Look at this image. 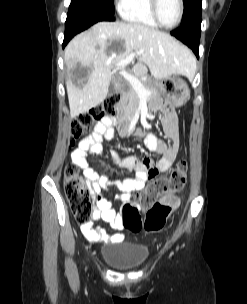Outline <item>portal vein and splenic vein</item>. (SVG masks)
Returning a JSON list of instances; mask_svg holds the SVG:
<instances>
[{
	"label": "portal vein and splenic vein",
	"mask_w": 247,
	"mask_h": 304,
	"mask_svg": "<svg viewBox=\"0 0 247 304\" xmlns=\"http://www.w3.org/2000/svg\"><path fill=\"white\" fill-rule=\"evenodd\" d=\"M139 54H140L139 52L130 53L126 58H124V59L120 60L118 63H116L115 66L118 68H123L124 66H126L130 62H132L134 57ZM120 74L131 84V86L137 92V94L139 96H145V97L151 96V91L147 90L137 77L131 75L130 73H128L125 70H121Z\"/></svg>",
	"instance_id": "18ae733b"
}]
</instances>
